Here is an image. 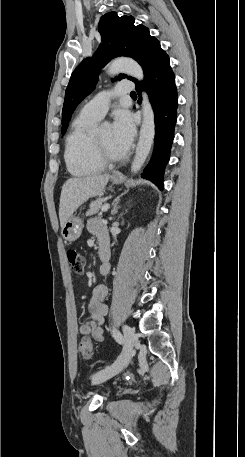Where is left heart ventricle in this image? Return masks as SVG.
Masks as SVG:
<instances>
[{"label":"left heart ventricle","instance_id":"b2bd125f","mask_svg":"<svg viewBox=\"0 0 245 457\" xmlns=\"http://www.w3.org/2000/svg\"><path fill=\"white\" fill-rule=\"evenodd\" d=\"M95 134L97 147L101 154L121 155L125 153V150L113 141L110 128L95 131Z\"/></svg>","mask_w":245,"mask_h":457}]
</instances>
